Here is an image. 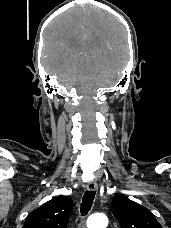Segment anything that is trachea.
Segmentation results:
<instances>
[{
	"mask_svg": "<svg viewBox=\"0 0 171 228\" xmlns=\"http://www.w3.org/2000/svg\"><path fill=\"white\" fill-rule=\"evenodd\" d=\"M95 198V192H90V191H86L84 193V196L82 198V203H81V214L83 216H85L91 209L92 205H93V201Z\"/></svg>",
	"mask_w": 171,
	"mask_h": 228,
	"instance_id": "1",
	"label": "trachea"
}]
</instances>
